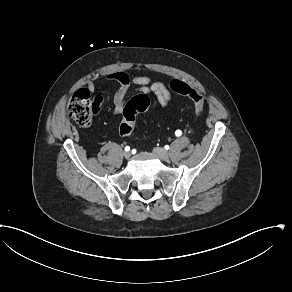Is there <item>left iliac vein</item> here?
<instances>
[{
	"mask_svg": "<svg viewBox=\"0 0 292 292\" xmlns=\"http://www.w3.org/2000/svg\"><path fill=\"white\" fill-rule=\"evenodd\" d=\"M153 152L159 159H161L163 161L169 160V153L166 150H164L163 148L155 147L153 149Z\"/></svg>",
	"mask_w": 292,
	"mask_h": 292,
	"instance_id": "1",
	"label": "left iliac vein"
}]
</instances>
